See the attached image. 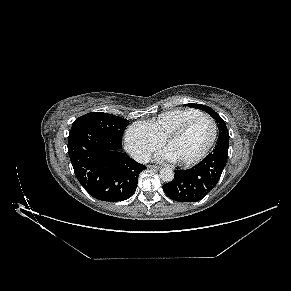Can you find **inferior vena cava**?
Instances as JSON below:
<instances>
[{"label": "inferior vena cava", "instance_id": "obj_1", "mask_svg": "<svg viewBox=\"0 0 291 291\" xmlns=\"http://www.w3.org/2000/svg\"><path fill=\"white\" fill-rule=\"evenodd\" d=\"M132 157L138 163H147L150 161V155L147 152L136 151L132 154Z\"/></svg>", "mask_w": 291, "mask_h": 291}]
</instances>
